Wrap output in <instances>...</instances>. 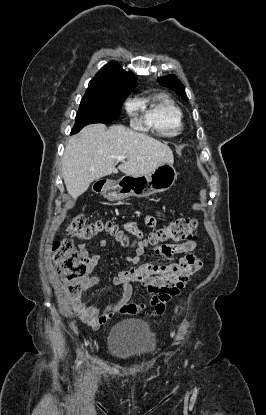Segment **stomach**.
I'll list each match as a JSON object with an SVG mask.
<instances>
[{
	"mask_svg": "<svg viewBox=\"0 0 266 415\" xmlns=\"http://www.w3.org/2000/svg\"><path fill=\"white\" fill-rule=\"evenodd\" d=\"M176 178L173 164L164 163L147 175H125L118 181H108L101 189V194L109 201H119L132 196L149 197L170 189Z\"/></svg>",
	"mask_w": 266,
	"mask_h": 415,
	"instance_id": "0dacf381",
	"label": "stomach"
}]
</instances>
